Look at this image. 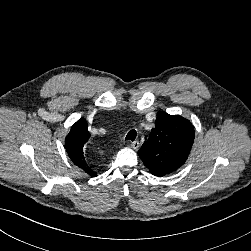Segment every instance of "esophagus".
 <instances>
[{
	"mask_svg": "<svg viewBox=\"0 0 251 251\" xmlns=\"http://www.w3.org/2000/svg\"><path fill=\"white\" fill-rule=\"evenodd\" d=\"M131 147L133 148V149H138L139 148V141H134V142H132L131 143Z\"/></svg>",
	"mask_w": 251,
	"mask_h": 251,
	"instance_id": "esophagus-1",
	"label": "esophagus"
}]
</instances>
